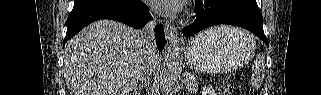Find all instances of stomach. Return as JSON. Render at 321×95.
I'll return each instance as SVG.
<instances>
[{
  "mask_svg": "<svg viewBox=\"0 0 321 95\" xmlns=\"http://www.w3.org/2000/svg\"><path fill=\"white\" fill-rule=\"evenodd\" d=\"M253 38L239 30L215 34L203 32L186 47L185 56L191 69L205 73H222L247 63L255 53Z\"/></svg>",
  "mask_w": 321,
  "mask_h": 95,
  "instance_id": "1",
  "label": "stomach"
}]
</instances>
